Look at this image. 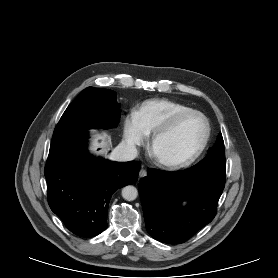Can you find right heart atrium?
Returning <instances> with one entry per match:
<instances>
[{"label":"right heart atrium","mask_w":278,"mask_h":278,"mask_svg":"<svg viewBox=\"0 0 278 278\" xmlns=\"http://www.w3.org/2000/svg\"><path fill=\"white\" fill-rule=\"evenodd\" d=\"M147 133L143 129L136 112L128 113L123 119V139L125 143L136 148L144 144L147 139Z\"/></svg>","instance_id":"d8ad5b80"}]
</instances>
